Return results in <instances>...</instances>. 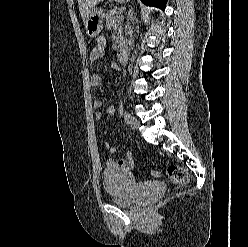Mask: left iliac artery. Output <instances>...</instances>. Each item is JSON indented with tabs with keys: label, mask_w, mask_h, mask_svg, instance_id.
Listing matches in <instances>:
<instances>
[{
	"label": "left iliac artery",
	"mask_w": 248,
	"mask_h": 247,
	"mask_svg": "<svg viewBox=\"0 0 248 247\" xmlns=\"http://www.w3.org/2000/svg\"><path fill=\"white\" fill-rule=\"evenodd\" d=\"M124 119H125V122H126V123L129 122L130 114H129L127 111L124 112Z\"/></svg>",
	"instance_id": "left-iliac-artery-1"
}]
</instances>
